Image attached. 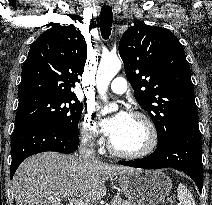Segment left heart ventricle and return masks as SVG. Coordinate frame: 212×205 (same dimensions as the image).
I'll use <instances>...</instances> for the list:
<instances>
[{"label": "left heart ventricle", "mask_w": 212, "mask_h": 205, "mask_svg": "<svg viewBox=\"0 0 212 205\" xmlns=\"http://www.w3.org/2000/svg\"><path fill=\"white\" fill-rule=\"evenodd\" d=\"M114 146L122 151H137L147 141V131L144 124L133 117H129L121 129L111 138Z\"/></svg>", "instance_id": "left-heart-ventricle-1"}]
</instances>
